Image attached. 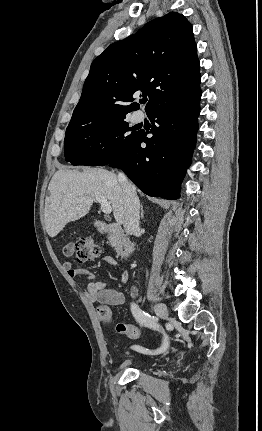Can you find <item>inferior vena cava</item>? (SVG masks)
<instances>
[{
	"mask_svg": "<svg viewBox=\"0 0 262 431\" xmlns=\"http://www.w3.org/2000/svg\"><path fill=\"white\" fill-rule=\"evenodd\" d=\"M118 180L124 191L123 226L127 234H133L139 229V198L123 173L118 174Z\"/></svg>",
	"mask_w": 262,
	"mask_h": 431,
	"instance_id": "602c4592",
	"label": "inferior vena cava"
}]
</instances>
